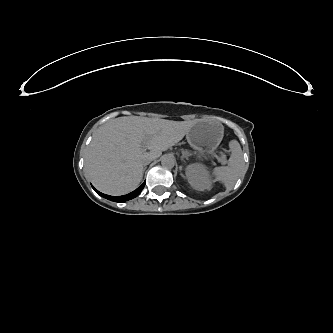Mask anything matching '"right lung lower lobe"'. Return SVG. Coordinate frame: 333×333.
Masks as SVG:
<instances>
[{"mask_svg":"<svg viewBox=\"0 0 333 333\" xmlns=\"http://www.w3.org/2000/svg\"><path fill=\"white\" fill-rule=\"evenodd\" d=\"M144 185H145V183H143L139 188H137L135 191L131 192V193L128 194V195L120 196V197H112V198H119V199H117V200H121V198H122L123 200H125V198L128 197V196H135V195H138V194L142 191V189L144 188ZM94 189H95V188H94ZM95 191H96L98 194L102 195V196H108V195H105V194L100 193V192L97 191L96 189H95ZM113 200H116V199H113Z\"/></svg>","mask_w":333,"mask_h":333,"instance_id":"98d812e1","label":"right lung lower lobe"}]
</instances>
